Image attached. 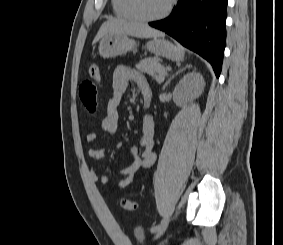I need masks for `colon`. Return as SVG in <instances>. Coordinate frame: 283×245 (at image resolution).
<instances>
[{"instance_id": "obj_1", "label": "colon", "mask_w": 283, "mask_h": 245, "mask_svg": "<svg viewBox=\"0 0 283 245\" xmlns=\"http://www.w3.org/2000/svg\"><path fill=\"white\" fill-rule=\"evenodd\" d=\"M89 78L93 81H97L100 78V70L97 64L92 63L88 70ZM121 206L127 211H135L137 209V204L131 200L123 199L121 201Z\"/></svg>"}]
</instances>
